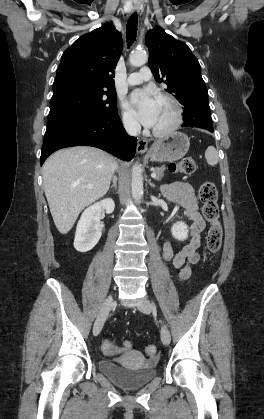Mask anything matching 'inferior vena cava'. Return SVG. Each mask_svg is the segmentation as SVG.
<instances>
[{"mask_svg": "<svg viewBox=\"0 0 264 419\" xmlns=\"http://www.w3.org/2000/svg\"><path fill=\"white\" fill-rule=\"evenodd\" d=\"M124 128L127 131V133L131 136H137V134L141 130L140 124L133 118H126L123 121ZM118 164L115 162L113 164V172L117 169Z\"/></svg>", "mask_w": 264, "mask_h": 419, "instance_id": "602c4592", "label": "inferior vena cava"}]
</instances>
